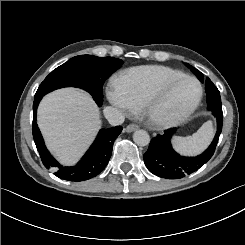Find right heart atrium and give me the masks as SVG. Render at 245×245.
Segmentation results:
<instances>
[{"instance_id":"d8ad5b80","label":"right heart atrium","mask_w":245,"mask_h":245,"mask_svg":"<svg viewBox=\"0 0 245 245\" xmlns=\"http://www.w3.org/2000/svg\"><path fill=\"white\" fill-rule=\"evenodd\" d=\"M110 101L122 108L126 113H130L131 107L116 92L110 94Z\"/></svg>"}]
</instances>
